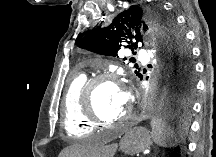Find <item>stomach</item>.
<instances>
[{
  "mask_svg": "<svg viewBox=\"0 0 216 157\" xmlns=\"http://www.w3.org/2000/svg\"><path fill=\"white\" fill-rule=\"evenodd\" d=\"M151 143L149 131L143 127H135L125 133L121 147L126 153L135 155L148 149Z\"/></svg>",
  "mask_w": 216,
  "mask_h": 157,
  "instance_id": "obj_1",
  "label": "stomach"
}]
</instances>
